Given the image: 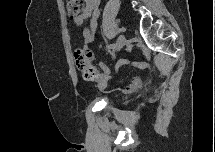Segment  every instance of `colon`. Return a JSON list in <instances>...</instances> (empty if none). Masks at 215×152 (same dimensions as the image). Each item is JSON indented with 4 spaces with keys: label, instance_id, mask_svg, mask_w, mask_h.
<instances>
[{
    "label": "colon",
    "instance_id": "1",
    "mask_svg": "<svg viewBox=\"0 0 215 152\" xmlns=\"http://www.w3.org/2000/svg\"><path fill=\"white\" fill-rule=\"evenodd\" d=\"M66 9L70 16L77 17L82 12V2L78 0H68ZM75 62L86 79L94 77L97 73L92 65L93 55L89 49H78L75 54Z\"/></svg>",
    "mask_w": 215,
    "mask_h": 152
}]
</instances>
